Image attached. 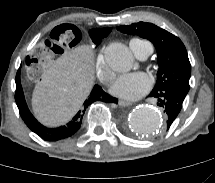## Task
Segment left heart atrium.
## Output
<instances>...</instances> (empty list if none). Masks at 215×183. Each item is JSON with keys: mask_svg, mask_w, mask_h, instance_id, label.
<instances>
[{"mask_svg": "<svg viewBox=\"0 0 215 183\" xmlns=\"http://www.w3.org/2000/svg\"><path fill=\"white\" fill-rule=\"evenodd\" d=\"M151 87V80L145 73H127L119 76L111 86V92L126 100H136Z\"/></svg>", "mask_w": 215, "mask_h": 183, "instance_id": "obj_1", "label": "left heart atrium"}]
</instances>
